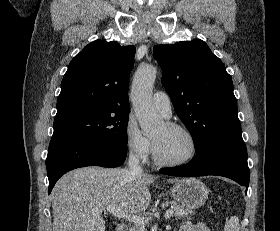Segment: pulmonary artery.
I'll return each instance as SVG.
<instances>
[{
    "label": "pulmonary artery",
    "instance_id": "pulmonary-artery-1",
    "mask_svg": "<svg viewBox=\"0 0 280 231\" xmlns=\"http://www.w3.org/2000/svg\"><path fill=\"white\" fill-rule=\"evenodd\" d=\"M152 104L165 118H169L172 115L171 101L165 92H155L152 96Z\"/></svg>",
    "mask_w": 280,
    "mask_h": 231
}]
</instances>
